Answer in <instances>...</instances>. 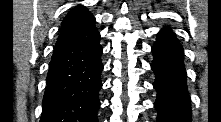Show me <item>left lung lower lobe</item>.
Segmentation results:
<instances>
[{
    "label": "left lung lower lobe",
    "mask_w": 221,
    "mask_h": 122,
    "mask_svg": "<svg viewBox=\"0 0 221 122\" xmlns=\"http://www.w3.org/2000/svg\"><path fill=\"white\" fill-rule=\"evenodd\" d=\"M152 52L151 69L156 76L154 88L158 93L155 102L157 122H188L191 106L182 46L169 28H163Z\"/></svg>",
    "instance_id": "left-lung-lower-lobe-1"
}]
</instances>
